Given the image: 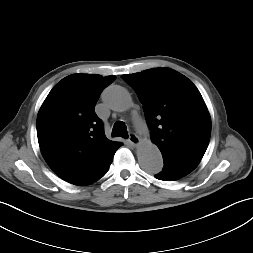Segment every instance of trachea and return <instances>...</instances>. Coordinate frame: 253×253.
<instances>
[{"mask_svg": "<svg viewBox=\"0 0 253 253\" xmlns=\"http://www.w3.org/2000/svg\"><path fill=\"white\" fill-rule=\"evenodd\" d=\"M112 136L113 137H128L127 127L124 122L117 121L112 129Z\"/></svg>", "mask_w": 253, "mask_h": 253, "instance_id": "1", "label": "trachea"}]
</instances>
